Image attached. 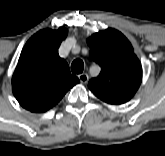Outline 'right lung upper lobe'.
<instances>
[{"mask_svg":"<svg viewBox=\"0 0 165 156\" xmlns=\"http://www.w3.org/2000/svg\"><path fill=\"white\" fill-rule=\"evenodd\" d=\"M67 29H44L25 44L12 77L13 93L25 109L42 113L55 106L79 79L70 73L58 48Z\"/></svg>","mask_w":165,"mask_h":156,"instance_id":"obj_1","label":"right lung upper lobe"}]
</instances>
